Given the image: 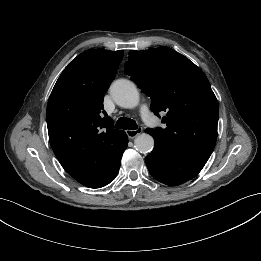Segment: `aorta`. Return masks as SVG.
Wrapping results in <instances>:
<instances>
[{
	"instance_id": "762f6f07",
	"label": "aorta",
	"mask_w": 261,
	"mask_h": 261,
	"mask_svg": "<svg viewBox=\"0 0 261 261\" xmlns=\"http://www.w3.org/2000/svg\"><path fill=\"white\" fill-rule=\"evenodd\" d=\"M110 93L115 103L122 108L132 109L139 104L138 89L129 80L114 81L110 86ZM134 147L140 153H149L154 147V139L151 135L142 133L135 138Z\"/></svg>"
}]
</instances>
